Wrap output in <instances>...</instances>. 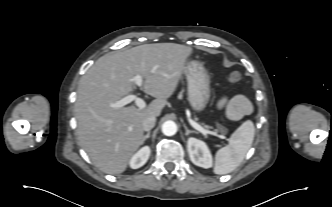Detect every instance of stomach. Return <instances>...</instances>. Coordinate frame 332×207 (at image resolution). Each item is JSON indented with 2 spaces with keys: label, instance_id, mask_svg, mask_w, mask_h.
Segmentation results:
<instances>
[{
  "label": "stomach",
  "instance_id": "stomach-1",
  "mask_svg": "<svg viewBox=\"0 0 332 207\" xmlns=\"http://www.w3.org/2000/svg\"><path fill=\"white\" fill-rule=\"evenodd\" d=\"M184 73L188 84V101L196 112L203 111L211 96L210 79L203 63L189 61Z\"/></svg>",
  "mask_w": 332,
  "mask_h": 207
}]
</instances>
